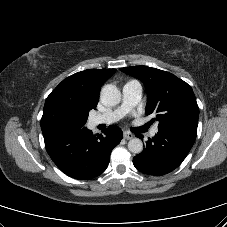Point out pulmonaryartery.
I'll use <instances>...</instances> for the list:
<instances>
[{
    "label": "pulmonary artery",
    "instance_id": "obj_1",
    "mask_svg": "<svg viewBox=\"0 0 227 227\" xmlns=\"http://www.w3.org/2000/svg\"><path fill=\"white\" fill-rule=\"evenodd\" d=\"M142 98V86L136 80L126 82L122 87V103L113 111L98 114L90 119L91 126L99 124H112L120 120L129 111H131ZM158 132L157 126L153 127L150 135L155 136Z\"/></svg>",
    "mask_w": 227,
    "mask_h": 227
}]
</instances>
